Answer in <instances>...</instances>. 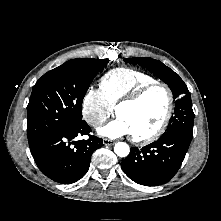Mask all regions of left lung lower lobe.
Masks as SVG:
<instances>
[{
    "instance_id": "0a47b994",
    "label": "left lung lower lobe",
    "mask_w": 221,
    "mask_h": 221,
    "mask_svg": "<svg viewBox=\"0 0 221 221\" xmlns=\"http://www.w3.org/2000/svg\"><path fill=\"white\" fill-rule=\"evenodd\" d=\"M191 139L170 134L138 149L121 162L125 174L134 182L145 186H157L168 182L179 170Z\"/></svg>"
}]
</instances>
